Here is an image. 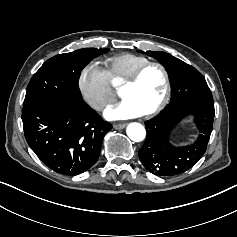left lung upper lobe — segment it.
Returning a JSON list of instances; mask_svg holds the SVG:
<instances>
[{
	"label": "left lung upper lobe",
	"mask_w": 237,
	"mask_h": 237,
	"mask_svg": "<svg viewBox=\"0 0 237 237\" xmlns=\"http://www.w3.org/2000/svg\"><path fill=\"white\" fill-rule=\"evenodd\" d=\"M145 53L156 58L168 71L172 99L161 115L145 122L147 139L139 150V158L145 168L157 176L178 175L192 167L186 161H199L203 156L212 129L195 119L200 132L197 141L189 146L175 147L170 144L169 136L179 121L168 118L164 113L178 106L214 104L212 93L204 76L193 66L165 52Z\"/></svg>",
	"instance_id": "left-lung-upper-lobe-1"
}]
</instances>
